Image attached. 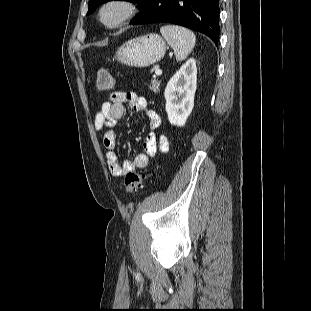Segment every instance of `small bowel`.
I'll list each match as a JSON object with an SVG mask.
<instances>
[{"instance_id": "c3829d8e", "label": "small bowel", "mask_w": 311, "mask_h": 311, "mask_svg": "<svg viewBox=\"0 0 311 311\" xmlns=\"http://www.w3.org/2000/svg\"><path fill=\"white\" fill-rule=\"evenodd\" d=\"M128 104L133 111L144 113L150 128L143 142V153L137 154L133 160L120 162L115 152L117 139L112 127L121 120L124 115V105ZM161 125L159 115L148 108L144 97L134 92L116 91L102 103L94 118V129L103 133V145L106 149V162L113 177L122 176L125 173L143 170L149 164V159L158 152L167 153L170 147L169 140L164 134L156 135L155 130Z\"/></svg>"}]
</instances>
